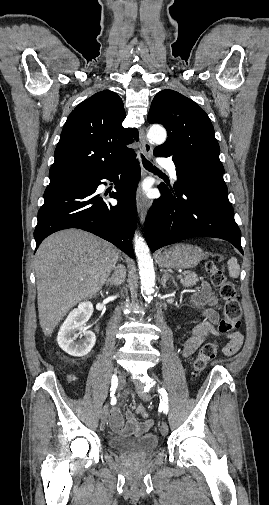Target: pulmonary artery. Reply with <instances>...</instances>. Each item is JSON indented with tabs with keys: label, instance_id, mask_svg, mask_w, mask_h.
<instances>
[{
	"label": "pulmonary artery",
	"instance_id": "1",
	"mask_svg": "<svg viewBox=\"0 0 269 505\" xmlns=\"http://www.w3.org/2000/svg\"><path fill=\"white\" fill-rule=\"evenodd\" d=\"M159 164L167 170V172L169 173L171 178L176 179V177H177L176 167H175V164L171 160L162 159L159 161Z\"/></svg>",
	"mask_w": 269,
	"mask_h": 505
}]
</instances>
